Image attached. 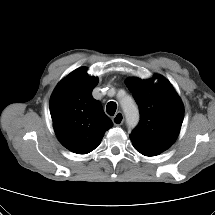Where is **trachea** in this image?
Instances as JSON below:
<instances>
[{
    "label": "trachea",
    "instance_id": "obj_1",
    "mask_svg": "<svg viewBox=\"0 0 215 215\" xmlns=\"http://www.w3.org/2000/svg\"><path fill=\"white\" fill-rule=\"evenodd\" d=\"M117 109V104L115 102H109L106 106V111L109 115L113 116Z\"/></svg>",
    "mask_w": 215,
    "mask_h": 215
}]
</instances>
